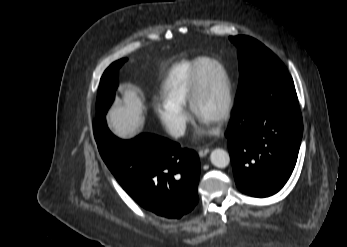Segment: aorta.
Instances as JSON below:
<instances>
[{
  "instance_id": "1",
  "label": "aorta",
  "mask_w": 347,
  "mask_h": 247,
  "mask_svg": "<svg viewBox=\"0 0 347 247\" xmlns=\"http://www.w3.org/2000/svg\"><path fill=\"white\" fill-rule=\"evenodd\" d=\"M211 163L218 168H225L230 163L229 153L223 149H214L210 154Z\"/></svg>"
}]
</instances>
